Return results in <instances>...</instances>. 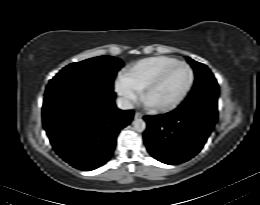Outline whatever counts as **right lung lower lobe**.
<instances>
[{"instance_id": "right-lung-lower-lobe-1", "label": "right lung lower lobe", "mask_w": 260, "mask_h": 205, "mask_svg": "<svg viewBox=\"0 0 260 205\" xmlns=\"http://www.w3.org/2000/svg\"><path fill=\"white\" fill-rule=\"evenodd\" d=\"M113 87L95 81H50L43 125L56 153L79 170H94L113 154L116 137L133 118L114 103Z\"/></svg>"}]
</instances>
